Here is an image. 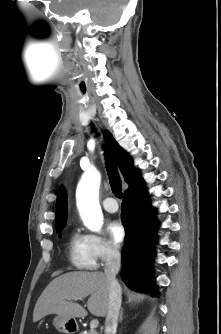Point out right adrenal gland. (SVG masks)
I'll use <instances>...</instances> for the list:
<instances>
[{"instance_id":"right-adrenal-gland-1","label":"right adrenal gland","mask_w":221,"mask_h":334,"mask_svg":"<svg viewBox=\"0 0 221 334\" xmlns=\"http://www.w3.org/2000/svg\"><path fill=\"white\" fill-rule=\"evenodd\" d=\"M122 320H123V309H121L119 317V321L122 322Z\"/></svg>"}]
</instances>
